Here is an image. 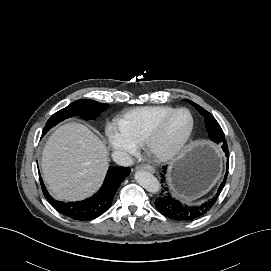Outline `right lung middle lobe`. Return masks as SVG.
I'll list each match as a JSON object with an SVG mask.
<instances>
[{
  "mask_svg": "<svg viewBox=\"0 0 271 271\" xmlns=\"http://www.w3.org/2000/svg\"><path fill=\"white\" fill-rule=\"evenodd\" d=\"M107 106V104L87 99L74 101L51 116L43 130V135L59 122L72 116L80 115L83 119H95Z\"/></svg>",
  "mask_w": 271,
  "mask_h": 271,
  "instance_id": "dd1d6c3e",
  "label": "right lung middle lobe"
}]
</instances>
